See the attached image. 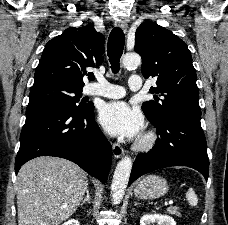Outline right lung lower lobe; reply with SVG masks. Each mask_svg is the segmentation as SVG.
Masks as SVG:
<instances>
[{
  "instance_id": "98d812e1",
  "label": "right lung lower lobe",
  "mask_w": 228,
  "mask_h": 225,
  "mask_svg": "<svg viewBox=\"0 0 228 225\" xmlns=\"http://www.w3.org/2000/svg\"><path fill=\"white\" fill-rule=\"evenodd\" d=\"M94 106L76 110L63 104L29 108L20 135L15 172L39 156H56L78 164L105 183L111 166V145L94 121Z\"/></svg>"
}]
</instances>
